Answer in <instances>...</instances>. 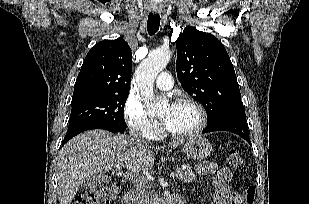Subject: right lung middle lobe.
I'll list each match as a JSON object with an SVG mask.
<instances>
[{
  "mask_svg": "<svg viewBox=\"0 0 309 204\" xmlns=\"http://www.w3.org/2000/svg\"><path fill=\"white\" fill-rule=\"evenodd\" d=\"M128 93L108 94L84 101L72 103L68 130L84 125H99L102 127L124 131V105Z\"/></svg>",
  "mask_w": 309,
  "mask_h": 204,
  "instance_id": "1",
  "label": "right lung middle lobe"
}]
</instances>
